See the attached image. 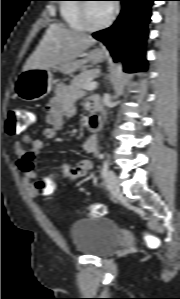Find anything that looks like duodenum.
<instances>
[{"label":"duodenum","instance_id":"410a0bca","mask_svg":"<svg viewBox=\"0 0 180 299\" xmlns=\"http://www.w3.org/2000/svg\"><path fill=\"white\" fill-rule=\"evenodd\" d=\"M104 115L101 111H93L89 118V127L92 131L97 132L103 122Z\"/></svg>","mask_w":180,"mask_h":299}]
</instances>
